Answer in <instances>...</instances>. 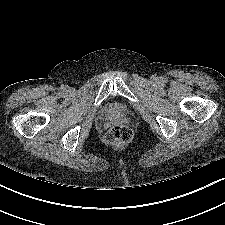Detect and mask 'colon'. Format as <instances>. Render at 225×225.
<instances>
[{
  "label": "colon",
  "mask_w": 225,
  "mask_h": 225,
  "mask_svg": "<svg viewBox=\"0 0 225 225\" xmlns=\"http://www.w3.org/2000/svg\"><path fill=\"white\" fill-rule=\"evenodd\" d=\"M132 137L129 127L116 125L111 127L105 134V140L109 144H121L128 142Z\"/></svg>",
  "instance_id": "1"
}]
</instances>
